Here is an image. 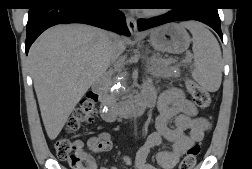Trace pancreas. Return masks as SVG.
<instances>
[{"mask_svg":"<svg viewBox=\"0 0 252 169\" xmlns=\"http://www.w3.org/2000/svg\"><path fill=\"white\" fill-rule=\"evenodd\" d=\"M174 61L169 59V60H163L161 58H154L151 61V72L155 76H162L165 78H170V77H177L179 76V67L180 64L171 66V64ZM128 97V92H125V95L122 97V99H126ZM115 100H118L115 98Z\"/></svg>","mask_w":252,"mask_h":169,"instance_id":"1","label":"pancreas"}]
</instances>
